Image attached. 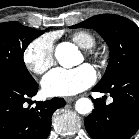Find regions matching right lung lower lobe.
Wrapping results in <instances>:
<instances>
[{"mask_svg": "<svg viewBox=\"0 0 139 139\" xmlns=\"http://www.w3.org/2000/svg\"><path fill=\"white\" fill-rule=\"evenodd\" d=\"M35 80L21 81L0 74V139H46L55 110L65 105L63 98L36 102L26 107L37 94Z\"/></svg>", "mask_w": 139, "mask_h": 139, "instance_id": "obj_1", "label": "right lung lower lobe"}]
</instances>
